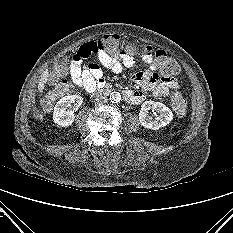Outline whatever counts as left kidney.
<instances>
[{
	"instance_id": "5707ae66",
	"label": "left kidney",
	"mask_w": 233,
	"mask_h": 233,
	"mask_svg": "<svg viewBox=\"0 0 233 233\" xmlns=\"http://www.w3.org/2000/svg\"><path fill=\"white\" fill-rule=\"evenodd\" d=\"M152 109L158 115L155 118L149 116L148 111ZM173 118L172 111L166 107L163 103L155 101H145L141 105V110L139 112V120L143 127L158 130L161 127L168 125Z\"/></svg>"
}]
</instances>
